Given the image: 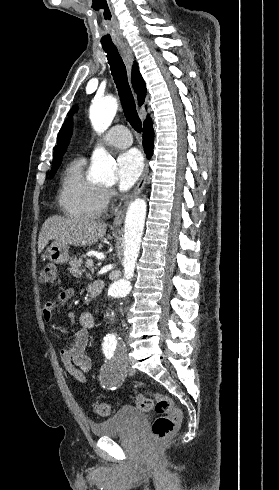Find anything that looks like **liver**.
<instances>
[{"instance_id":"obj_1","label":"liver","mask_w":279,"mask_h":490,"mask_svg":"<svg viewBox=\"0 0 279 490\" xmlns=\"http://www.w3.org/2000/svg\"><path fill=\"white\" fill-rule=\"evenodd\" d=\"M107 224L89 218H61L51 216L44 222L38 240V254L43 252L49 240L70 246H92L106 234Z\"/></svg>"}]
</instances>
